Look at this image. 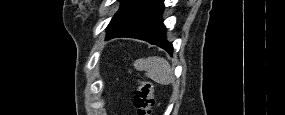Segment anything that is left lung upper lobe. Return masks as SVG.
Listing matches in <instances>:
<instances>
[{"label": "left lung upper lobe", "mask_w": 285, "mask_h": 115, "mask_svg": "<svg viewBox=\"0 0 285 115\" xmlns=\"http://www.w3.org/2000/svg\"><path fill=\"white\" fill-rule=\"evenodd\" d=\"M122 2H121V7H120V9L124 6V5H126L128 2H129V0H121Z\"/></svg>", "instance_id": "left-lung-upper-lobe-1"}]
</instances>
